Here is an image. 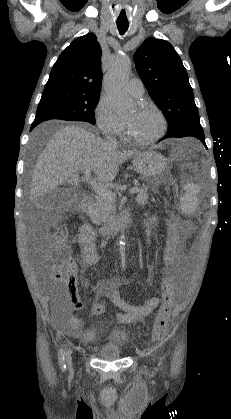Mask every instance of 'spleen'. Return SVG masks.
<instances>
[{"mask_svg": "<svg viewBox=\"0 0 231 419\" xmlns=\"http://www.w3.org/2000/svg\"><path fill=\"white\" fill-rule=\"evenodd\" d=\"M185 194L181 197V209L185 214H192L195 212L198 199H197V192L198 188L195 184H186L185 187Z\"/></svg>", "mask_w": 231, "mask_h": 419, "instance_id": "spleen-1", "label": "spleen"}]
</instances>
